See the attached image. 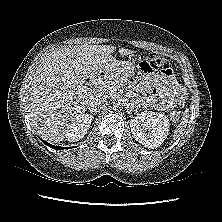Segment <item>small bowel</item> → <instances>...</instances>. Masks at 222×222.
I'll list each match as a JSON object with an SVG mask.
<instances>
[{
	"mask_svg": "<svg viewBox=\"0 0 222 222\" xmlns=\"http://www.w3.org/2000/svg\"><path fill=\"white\" fill-rule=\"evenodd\" d=\"M137 91L143 95L146 106L159 110H170L183 103L185 93L169 68L162 75L146 74L141 76ZM149 95H146V94Z\"/></svg>",
	"mask_w": 222,
	"mask_h": 222,
	"instance_id": "obj_1",
	"label": "small bowel"
}]
</instances>
